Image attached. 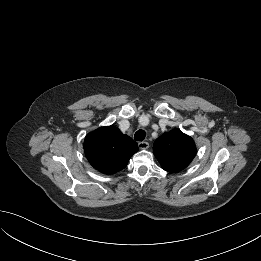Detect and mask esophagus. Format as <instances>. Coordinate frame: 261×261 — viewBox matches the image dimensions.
<instances>
[{
  "instance_id": "34e87169",
  "label": "esophagus",
  "mask_w": 261,
  "mask_h": 261,
  "mask_svg": "<svg viewBox=\"0 0 261 261\" xmlns=\"http://www.w3.org/2000/svg\"><path fill=\"white\" fill-rule=\"evenodd\" d=\"M138 148L139 149H148L149 148V143L146 141H142L138 143Z\"/></svg>"
}]
</instances>
